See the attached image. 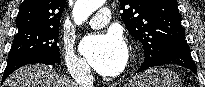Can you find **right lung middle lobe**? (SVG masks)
Returning a JSON list of instances; mask_svg holds the SVG:
<instances>
[{
	"label": "right lung middle lobe",
	"instance_id": "1",
	"mask_svg": "<svg viewBox=\"0 0 205 87\" xmlns=\"http://www.w3.org/2000/svg\"><path fill=\"white\" fill-rule=\"evenodd\" d=\"M58 37L59 28L19 31L8 56L34 55L60 63Z\"/></svg>",
	"mask_w": 205,
	"mask_h": 87
}]
</instances>
